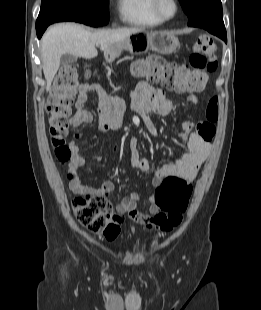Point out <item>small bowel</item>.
Masks as SVG:
<instances>
[{"mask_svg": "<svg viewBox=\"0 0 261 310\" xmlns=\"http://www.w3.org/2000/svg\"><path fill=\"white\" fill-rule=\"evenodd\" d=\"M90 94H95L99 99V108L102 113L101 129L103 131L112 129L114 123L105 116L104 110L106 108H112L117 114H120L124 110V101L121 97L108 93L94 83H83L79 86L76 112L71 118V125L77 128L82 124H89L93 121V114L86 108ZM187 101L191 104H197L198 97L195 94H190ZM132 108L141 116L149 132L155 135V128L148 114L155 112L159 115H167L172 109V102L165 97L161 90L155 89L147 82H141L132 94ZM182 129L179 137L187 142V151L175 160H170L156 169L153 180L155 185H158L169 175H178L189 182H193L209 154L211 140L204 139L194 130V124L192 122L185 121L182 124ZM74 137L75 139H81L83 134L76 132ZM68 147L71 152L68 165V173L71 176L69 181L70 190L75 194L109 196L114 189V184L111 181H104L99 188H93L81 182L77 172L85 164L86 158L81 154L80 147L76 141H70ZM129 147L133 167L142 172L149 171L151 169V163L147 158L140 156L136 138L130 140ZM94 159L99 160L100 157L94 156ZM139 200L140 195L137 192L131 193L118 203L116 214L121 217L124 214H128L136 223L149 226L153 223L154 217L160 212V209L152 203L145 212H142L137 208Z\"/></svg>", "mask_w": 261, "mask_h": 310, "instance_id": "obj_1", "label": "small bowel"}]
</instances>
